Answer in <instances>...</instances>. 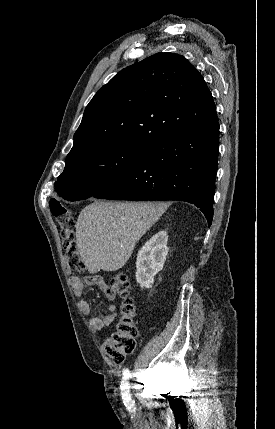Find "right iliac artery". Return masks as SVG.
I'll list each match as a JSON object with an SVG mask.
<instances>
[{
    "label": "right iliac artery",
    "instance_id": "obj_1",
    "mask_svg": "<svg viewBox=\"0 0 275 429\" xmlns=\"http://www.w3.org/2000/svg\"><path fill=\"white\" fill-rule=\"evenodd\" d=\"M129 377H130L129 371L125 370L123 380L121 382V390H122V398L126 403H128L131 406L132 400L129 394V382H128Z\"/></svg>",
    "mask_w": 275,
    "mask_h": 429
}]
</instances>
